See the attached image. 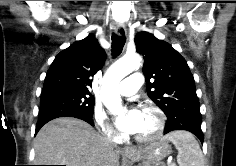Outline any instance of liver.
Wrapping results in <instances>:
<instances>
[{
    "mask_svg": "<svg viewBox=\"0 0 236 166\" xmlns=\"http://www.w3.org/2000/svg\"><path fill=\"white\" fill-rule=\"evenodd\" d=\"M36 165L119 166V150L88 123L61 117L44 125L34 140Z\"/></svg>",
    "mask_w": 236,
    "mask_h": 166,
    "instance_id": "liver-1",
    "label": "liver"
}]
</instances>
